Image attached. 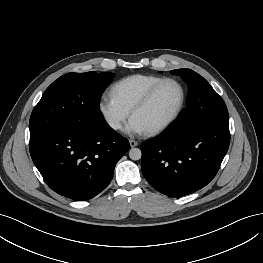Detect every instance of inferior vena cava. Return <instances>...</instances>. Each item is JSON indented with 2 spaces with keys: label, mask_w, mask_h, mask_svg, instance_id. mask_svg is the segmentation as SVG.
<instances>
[{
  "label": "inferior vena cava",
  "mask_w": 263,
  "mask_h": 263,
  "mask_svg": "<svg viewBox=\"0 0 263 263\" xmlns=\"http://www.w3.org/2000/svg\"><path fill=\"white\" fill-rule=\"evenodd\" d=\"M109 125L113 128V129H119L121 127V124L118 121H110Z\"/></svg>",
  "instance_id": "602c4592"
}]
</instances>
